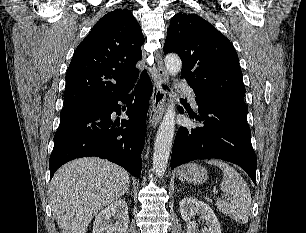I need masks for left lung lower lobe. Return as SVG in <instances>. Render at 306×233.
Listing matches in <instances>:
<instances>
[{
  "label": "left lung lower lobe",
  "instance_id": "left-lung-lower-lobe-1",
  "mask_svg": "<svg viewBox=\"0 0 306 233\" xmlns=\"http://www.w3.org/2000/svg\"><path fill=\"white\" fill-rule=\"evenodd\" d=\"M195 100L201 115L195 119L203 121V125L193 129H178L171 169L199 158H217L242 167L256 185L257 160L246 119V104L234 99L196 95ZM179 110L184 113L183 108Z\"/></svg>",
  "mask_w": 306,
  "mask_h": 233
}]
</instances>
